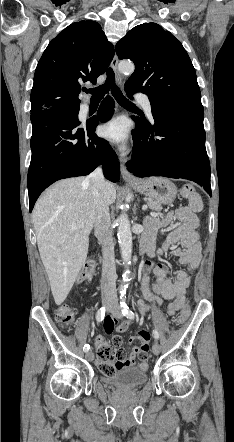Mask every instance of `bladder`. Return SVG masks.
<instances>
[{"label":"bladder","instance_id":"1","mask_svg":"<svg viewBox=\"0 0 234 442\" xmlns=\"http://www.w3.org/2000/svg\"><path fill=\"white\" fill-rule=\"evenodd\" d=\"M148 379L147 369L141 366H126L105 375L103 380L110 386L132 389L143 385Z\"/></svg>","mask_w":234,"mask_h":442}]
</instances>
